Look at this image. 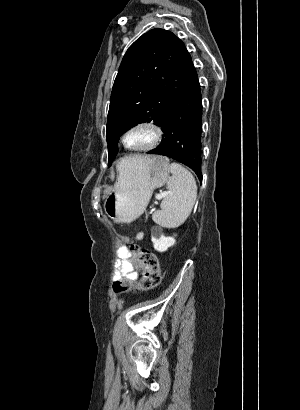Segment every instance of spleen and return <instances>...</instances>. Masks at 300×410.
Instances as JSON below:
<instances>
[{"label": "spleen", "instance_id": "spleen-1", "mask_svg": "<svg viewBox=\"0 0 300 410\" xmlns=\"http://www.w3.org/2000/svg\"><path fill=\"white\" fill-rule=\"evenodd\" d=\"M127 164L123 159L117 169L121 173ZM172 173L167 188L168 194L158 210L153 213L152 220L166 228H176L183 224L190 215L197 197V185L193 175L179 163L169 165Z\"/></svg>", "mask_w": 300, "mask_h": 410}]
</instances>
